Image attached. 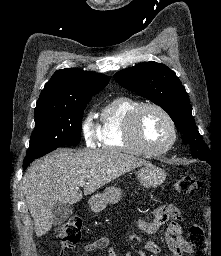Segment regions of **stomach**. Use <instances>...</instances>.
Wrapping results in <instances>:
<instances>
[{
  "mask_svg": "<svg viewBox=\"0 0 221 256\" xmlns=\"http://www.w3.org/2000/svg\"><path fill=\"white\" fill-rule=\"evenodd\" d=\"M136 174L140 184L145 187H157L166 179L165 171L151 163L143 165ZM121 195L122 191L120 188L114 186L107 187L103 193L93 195L89 200V205L92 211L101 212L108 204L117 203Z\"/></svg>",
  "mask_w": 221,
  "mask_h": 256,
  "instance_id": "obj_1",
  "label": "stomach"
}]
</instances>
